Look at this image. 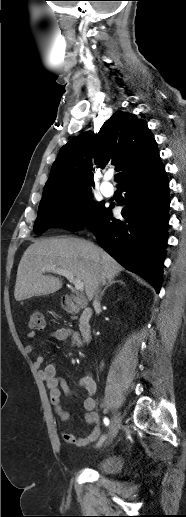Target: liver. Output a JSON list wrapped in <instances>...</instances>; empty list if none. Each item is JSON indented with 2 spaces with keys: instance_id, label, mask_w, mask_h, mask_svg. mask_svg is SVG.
I'll list each match as a JSON object with an SVG mask.
<instances>
[{
  "instance_id": "1",
  "label": "liver",
  "mask_w": 186,
  "mask_h": 517,
  "mask_svg": "<svg viewBox=\"0 0 186 517\" xmlns=\"http://www.w3.org/2000/svg\"><path fill=\"white\" fill-rule=\"evenodd\" d=\"M55 266L82 280L88 300H92L100 279L112 280L123 267L102 248L79 238L37 240L24 252L17 270L16 301L47 295L62 287L59 278L44 275L43 268Z\"/></svg>"
}]
</instances>
